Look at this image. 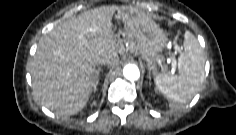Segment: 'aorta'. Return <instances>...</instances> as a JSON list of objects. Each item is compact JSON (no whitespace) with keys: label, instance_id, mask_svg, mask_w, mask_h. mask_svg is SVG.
Returning <instances> with one entry per match:
<instances>
[{"label":"aorta","instance_id":"obj_1","mask_svg":"<svg viewBox=\"0 0 236 135\" xmlns=\"http://www.w3.org/2000/svg\"><path fill=\"white\" fill-rule=\"evenodd\" d=\"M122 74L127 80L131 82L138 80L140 77L139 68L135 64H126L122 69Z\"/></svg>","mask_w":236,"mask_h":135}]
</instances>
